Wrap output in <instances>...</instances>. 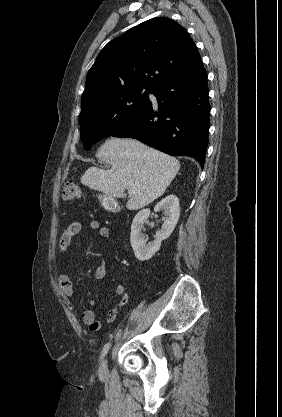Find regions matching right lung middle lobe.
I'll return each instance as SVG.
<instances>
[{
    "label": "right lung middle lobe",
    "mask_w": 282,
    "mask_h": 417,
    "mask_svg": "<svg viewBox=\"0 0 282 417\" xmlns=\"http://www.w3.org/2000/svg\"><path fill=\"white\" fill-rule=\"evenodd\" d=\"M154 91L134 87L83 100L79 123L84 148L90 150L94 143L123 128L150 103L148 94Z\"/></svg>",
    "instance_id": "right-lung-middle-lobe-1"
}]
</instances>
